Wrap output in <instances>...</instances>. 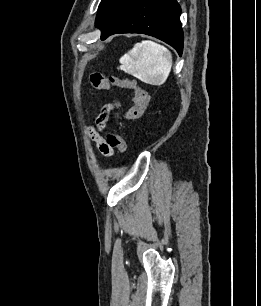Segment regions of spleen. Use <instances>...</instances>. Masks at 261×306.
Wrapping results in <instances>:
<instances>
[{
  "label": "spleen",
  "mask_w": 261,
  "mask_h": 306,
  "mask_svg": "<svg viewBox=\"0 0 261 306\" xmlns=\"http://www.w3.org/2000/svg\"><path fill=\"white\" fill-rule=\"evenodd\" d=\"M120 69L150 85L164 84L172 68V54L164 46L145 40L119 60Z\"/></svg>",
  "instance_id": "3e777b00"
}]
</instances>
